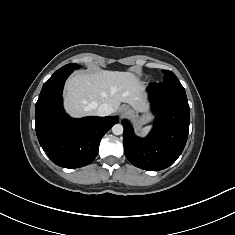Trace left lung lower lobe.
Masks as SVG:
<instances>
[{
	"label": "left lung lower lobe",
	"instance_id": "1",
	"mask_svg": "<svg viewBox=\"0 0 235 235\" xmlns=\"http://www.w3.org/2000/svg\"><path fill=\"white\" fill-rule=\"evenodd\" d=\"M147 91L156 114L154 127L147 137L140 138L124 119L123 145L134 166L158 171L170 166L182 153L189 133L190 108L180 83H152Z\"/></svg>",
	"mask_w": 235,
	"mask_h": 235
}]
</instances>
